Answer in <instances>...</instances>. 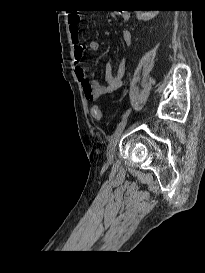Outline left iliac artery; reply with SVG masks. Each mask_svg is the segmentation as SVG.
Instances as JSON below:
<instances>
[{
	"label": "left iliac artery",
	"mask_w": 205,
	"mask_h": 273,
	"mask_svg": "<svg viewBox=\"0 0 205 273\" xmlns=\"http://www.w3.org/2000/svg\"><path fill=\"white\" fill-rule=\"evenodd\" d=\"M130 113H131V108H129V109L125 112V114L123 115V119L126 118V117H128Z\"/></svg>",
	"instance_id": "obj_1"
}]
</instances>
